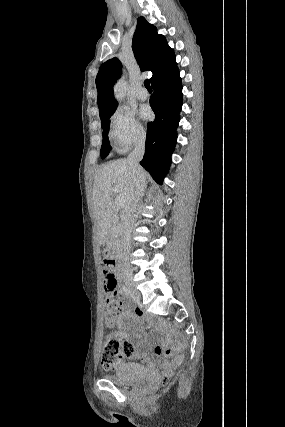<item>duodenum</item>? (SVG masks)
I'll use <instances>...</instances> for the list:
<instances>
[{
    "mask_svg": "<svg viewBox=\"0 0 285 427\" xmlns=\"http://www.w3.org/2000/svg\"><path fill=\"white\" fill-rule=\"evenodd\" d=\"M113 227H114V225H113V224H112V225H110V229H112ZM102 242H103V243H105V242H104V240H103V238H102Z\"/></svg>",
    "mask_w": 285,
    "mask_h": 427,
    "instance_id": "duodenum-1",
    "label": "duodenum"
}]
</instances>
